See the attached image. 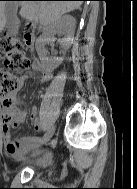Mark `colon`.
<instances>
[{
	"label": "colon",
	"instance_id": "colon-1",
	"mask_svg": "<svg viewBox=\"0 0 137 189\" xmlns=\"http://www.w3.org/2000/svg\"><path fill=\"white\" fill-rule=\"evenodd\" d=\"M0 59L4 67L0 68V103L10 104L11 96L21 86L17 73L28 70L33 62L26 56L19 38L0 33Z\"/></svg>",
	"mask_w": 137,
	"mask_h": 189
}]
</instances>
